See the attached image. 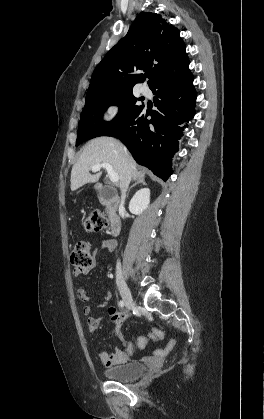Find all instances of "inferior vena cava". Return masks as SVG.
I'll use <instances>...</instances> for the list:
<instances>
[{
	"label": "inferior vena cava",
	"instance_id": "inferior-vena-cava-1",
	"mask_svg": "<svg viewBox=\"0 0 264 419\" xmlns=\"http://www.w3.org/2000/svg\"><path fill=\"white\" fill-rule=\"evenodd\" d=\"M128 175H129V171H128ZM126 189H127V186L125 188L121 189V204H123L124 199L126 197ZM117 268L118 269L120 268V262H117Z\"/></svg>",
	"mask_w": 264,
	"mask_h": 419
}]
</instances>
